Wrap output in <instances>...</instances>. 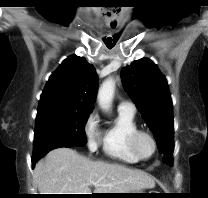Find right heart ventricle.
<instances>
[{
	"mask_svg": "<svg viewBox=\"0 0 208 198\" xmlns=\"http://www.w3.org/2000/svg\"><path fill=\"white\" fill-rule=\"evenodd\" d=\"M138 129L134 114L118 110L116 120L103 132L104 154L122 163H138L140 159L130 147V137Z\"/></svg>",
	"mask_w": 208,
	"mask_h": 198,
	"instance_id": "obj_1",
	"label": "right heart ventricle"
}]
</instances>
